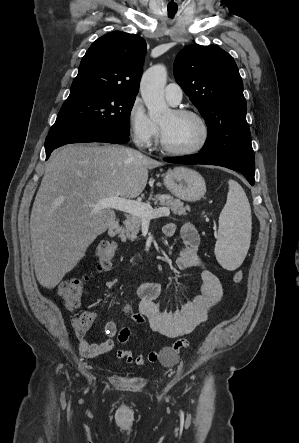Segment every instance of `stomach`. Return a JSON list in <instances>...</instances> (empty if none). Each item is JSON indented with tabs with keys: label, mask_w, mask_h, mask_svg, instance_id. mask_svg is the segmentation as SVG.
<instances>
[{
	"label": "stomach",
	"mask_w": 299,
	"mask_h": 443,
	"mask_svg": "<svg viewBox=\"0 0 299 443\" xmlns=\"http://www.w3.org/2000/svg\"><path fill=\"white\" fill-rule=\"evenodd\" d=\"M164 185L177 198L195 202L206 193L204 178L195 170L186 167H176L164 177Z\"/></svg>",
	"instance_id": "stomach-1"
}]
</instances>
